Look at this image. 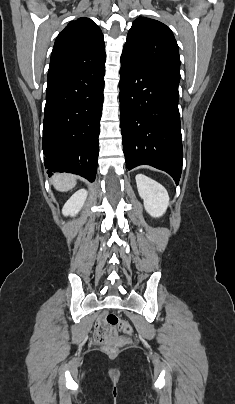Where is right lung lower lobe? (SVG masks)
I'll return each mask as SVG.
<instances>
[{
    "mask_svg": "<svg viewBox=\"0 0 235 404\" xmlns=\"http://www.w3.org/2000/svg\"><path fill=\"white\" fill-rule=\"evenodd\" d=\"M105 61L49 72L43 127L45 167L95 180Z\"/></svg>",
    "mask_w": 235,
    "mask_h": 404,
    "instance_id": "right-lung-lower-lobe-1",
    "label": "right lung lower lobe"
}]
</instances>
